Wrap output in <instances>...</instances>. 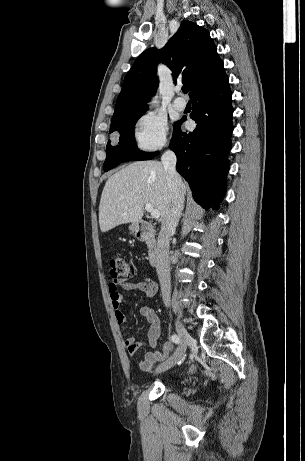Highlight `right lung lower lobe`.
Wrapping results in <instances>:
<instances>
[{
    "instance_id": "right-lung-lower-lobe-1",
    "label": "right lung lower lobe",
    "mask_w": 305,
    "mask_h": 461,
    "mask_svg": "<svg viewBox=\"0 0 305 461\" xmlns=\"http://www.w3.org/2000/svg\"><path fill=\"white\" fill-rule=\"evenodd\" d=\"M191 99L190 117L197 126L186 134L180 129L185 118L176 122L169 147L176 153V169L189 183L194 200L205 209H218L225 192L233 131L231 90L226 73L197 90Z\"/></svg>"
}]
</instances>
